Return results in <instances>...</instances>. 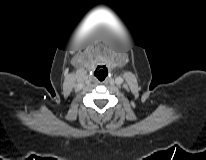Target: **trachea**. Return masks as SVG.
<instances>
[{"label":"trachea","instance_id":"obj_1","mask_svg":"<svg viewBox=\"0 0 206 160\" xmlns=\"http://www.w3.org/2000/svg\"><path fill=\"white\" fill-rule=\"evenodd\" d=\"M95 76L100 80V81H103L106 76H107V73L103 70H99V72H95Z\"/></svg>","mask_w":206,"mask_h":160}]
</instances>
